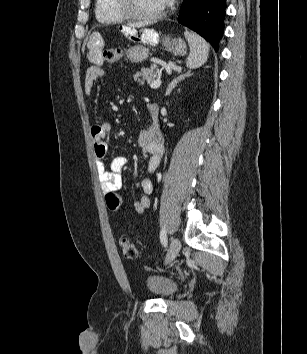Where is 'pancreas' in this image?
Masks as SVG:
<instances>
[{"label": "pancreas", "mask_w": 307, "mask_h": 354, "mask_svg": "<svg viewBox=\"0 0 307 354\" xmlns=\"http://www.w3.org/2000/svg\"><path fill=\"white\" fill-rule=\"evenodd\" d=\"M160 74L161 70L158 66L152 64L149 68H142L140 71L136 72L134 80L137 81L139 85H144L145 83L151 84Z\"/></svg>", "instance_id": "cf45deb5"}]
</instances>
